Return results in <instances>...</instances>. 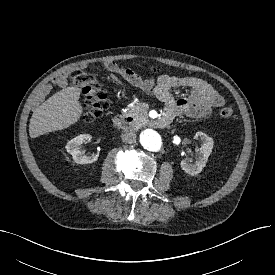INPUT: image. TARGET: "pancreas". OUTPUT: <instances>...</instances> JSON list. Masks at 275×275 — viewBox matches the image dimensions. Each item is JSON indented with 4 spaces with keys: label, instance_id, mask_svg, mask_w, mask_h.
Returning a JSON list of instances; mask_svg holds the SVG:
<instances>
[{
    "label": "pancreas",
    "instance_id": "obj_1",
    "mask_svg": "<svg viewBox=\"0 0 275 275\" xmlns=\"http://www.w3.org/2000/svg\"><path fill=\"white\" fill-rule=\"evenodd\" d=\"M147 111L148 106L141 103H136L127 108L125 116L134 118L136 124L142 125L147 122Z\"/></svg>",
    "mask_w": 275,
    "mask_h": 275
}]
</instances>
